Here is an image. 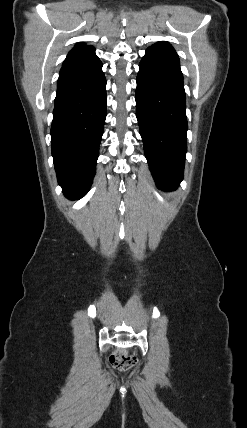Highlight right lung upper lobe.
Segmentation results:
<instances>
[{"label": "right lung upper lobe", "instance_id": "1", "mask_svg": "<svg viewBox=\"0 0 247 428\" xmlns=\"http://www.w3.org/2000/svg\"><path fill=\"white\" fill-rule=\"evenodd\" d=\"M94 56L95 48L93 46H86L84 43H77L75 47L68 53L62 67L82 63Z\"/></svg>", "mask_w": 247, "mask_h": 428}]
</instances>
